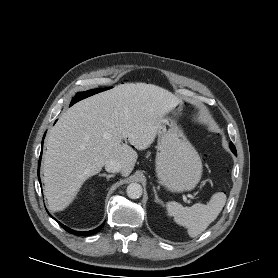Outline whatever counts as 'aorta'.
I'll return each mask as SVG.
<instances>
[{"mask_svg": "<svg viewBox=\"0 0 278 278\" xmlns=\"http://www.w3.org/2000/svg\"><path fill=\"white\" fill-rule=\"evenodd\" d=\"M142 186L138 183H131L127 186V196L131 199H138L142 196Z\"/></svg>", "mask_w": 278, "mask_h": 278, "instance_id": "762f6f07", "label": "aorta"}]
</instances>
